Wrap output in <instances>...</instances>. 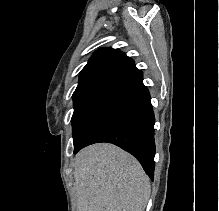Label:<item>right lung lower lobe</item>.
<instances>
[{
  "label": "right lung lower lobe",
  "mask_w": 219,
  "mask_h": 211,
  "mask_svg": "<svg viewBox=\"0 0 219 211\" xmlns=\"http://www.w3.org/2000/svg\"><path fill=\"white\" fill-rule=\"evenodd\" d=\"M139 70L112 88L74 141V153L93 143L115 144L154 176V113Z\"/></svg>",
  "instance_id": "right-lung-lower-lobe-1"
}]
</instances>
